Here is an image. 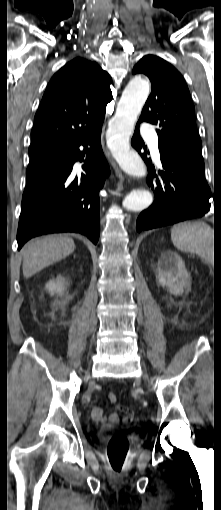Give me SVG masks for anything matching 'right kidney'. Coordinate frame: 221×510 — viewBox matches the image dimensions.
Returning <instances> with one entry per match:
<instances>
[{
  "label": "right kidney",
  "mask_w": 221,
  "mask_h": 510,
  "mask_svg": "<svg viewBox=\"0 0 221 510\" xmlns=\"http://www.w3.org/2000/svg\"><path fill=\"white\" fill-rule=\"evenodd\" d=\"M64 284V278L58 276L56 279L49 280L46 283L45 289L50 293V295H62L65 289Z\"/></svg>",
  "instance_id": "right-kidney-1"
}]
</instances>
